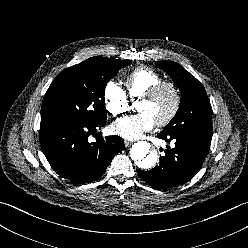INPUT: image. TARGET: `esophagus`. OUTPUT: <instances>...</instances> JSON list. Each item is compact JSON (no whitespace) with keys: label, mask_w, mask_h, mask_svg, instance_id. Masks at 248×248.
Wrapping results in <instances>:
<instances>
[{"label":"esophagus","mask_w":248,"mask_h":248,"mask_svg":"<svg viewBox=\"0 0 248 248\" xmlns=\"http://www.w3.org/2000/svg\"><path fill=\"white\" fill-rule=\"evenodd\" d=\"M124 143H125V146H126V147H129V146H131V144H132V142L129 141V140H125Z\"/></svg>","instance_id":"obj_1"}]
</instances>
